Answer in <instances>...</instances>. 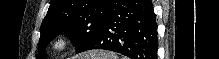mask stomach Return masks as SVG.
Masks as SVG:
<instances>
[{
	"instance_id": "0dacf381",
	"label": "stomach",
	"mask_w": 219,
	"mask_h": 59,
	"mask_svg": "<svg viewBox=\"0 0 219 59\" xmlns=\"http://www.w3.org/2000/svg\"><path fill=\"white\" fill-rule=\"evenodd\" d=\"M101 54H97V52H92V55L87 54V57H99ZM92 59V58H91ZM94 59V58H93ZM96 59V58H95Z\"/></svg>"
}]
</instances>
